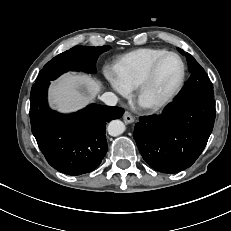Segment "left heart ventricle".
Instances as JSON below:
<instances>
[{
	"label": "left heart ventricle",
	"mask_w": 231,
	"mask_h": 231,
	"mask_svg": "<svg viewBox=\"0 0 231 231\" xmlns=\"http://www.w3.org/2000/svg\"><path fill=\"white\" fill-rule=\"evenodd\" d=\"M181 74V63L175 56L167 57L159 66L151 84L144 94L145 101L162 98L177 84Z\"/></svg>",
	"instance_id": "left-heart-ventricle-1"
}]
</instances>
